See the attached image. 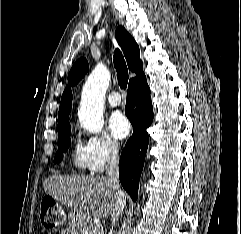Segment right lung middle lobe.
<instances>
[{
  "instance_id": "obj_1",
  "label": "right lung middle lobe",
  "mask_w": 241,
  "mask_h": 234,
  "mask_svg": "<svg viewBox=\"0 0 241 234\" xmlns=\"http://www.w3.org/2000/svg\"><path fill=\"white\" fill-rule=\"evenodd\" d=\"M71 131V127H67L65 129L58 131V151L55 154L54 163H58L62 160L64 153L68 150L71 139L69 133Z\"/></svg>"
}]
</instances>
